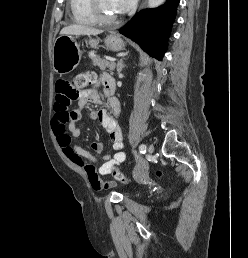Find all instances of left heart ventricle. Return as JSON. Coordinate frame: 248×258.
Returning <instances> with one entry per match:
<instances>
[{
    "instance_id": "obj_1",
    "label": "left heart ventricle",
    "mask_w": 248,
    "mask_h": 258,
    "mask_svg": "<svg viewBox=\"0 0 248 258\" xmlns=\"http://www.w3.org/2000/svg\"><path fill=\"white\" fill-rule=\"evenodd\" d=\"M100 7L102 12L110 17H117L118 13L115 11L112 0H100Z\"/></svg>"
}]
</instances>
